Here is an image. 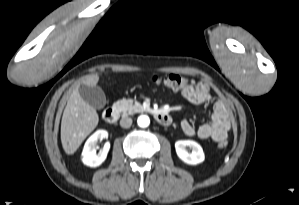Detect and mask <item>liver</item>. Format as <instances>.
I'll use <instances>...</instances> for the list:
<instances>
[{
  "label": "liver",
  "instance_id": "1",
  "mask_svg": "<svg viewBox=\"0 0 299 205\" xmlns=\"http://www.w3.org/2000/svg\"><path fill=\"white\" fill-rule=\"evenodd\" d=\"M98 81V74H91L85 76L82 83L96 86ZM98 121L95 108L83 100L76 86L69 96L61 120V142L65 153L69 155L75 153L85 138L96 128Z\"/></svg>",
  "mask_w": 299,
  "mask_h": 205
}]
</instances>
